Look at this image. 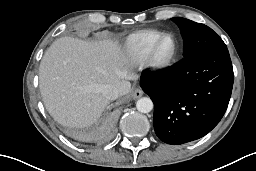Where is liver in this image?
<instances>
[{"mask_svg": "<svg viewBox=\"0 0 256 171\" xmlns=\"http://www.w3.org/2000/svg\"><path fill=\"white\" fill-rule=\"evenodd\" d=\"M130 59L113 41L86 42L62 37L46 50L39 68V88L46 109L61 125L84 128L97 122L109 100L106 84L129 92Z\"/></svg>", "mask_w": 256, "mask_h": 171, "instance_id": "1", "label": "liver"}]
</instances>
